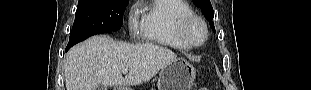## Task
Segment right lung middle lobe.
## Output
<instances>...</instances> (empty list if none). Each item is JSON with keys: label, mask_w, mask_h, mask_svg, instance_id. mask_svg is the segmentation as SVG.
Masks as SVG:
<instances>
[{"label": "right lung middle lobe", "mask_w": 311, "mask_h": 90, "mask_svg": "<svg viewBox=\"0 0 311 90\" xmlns=\"http://www.w3.org/2000/svg\"><path fill=\"white\" fill-rule=\"evenodd\" d=\"M128 0H79L68 46L86 38L119 30Z\"/></svg>", "instance_id": "1"}]
</instances>
